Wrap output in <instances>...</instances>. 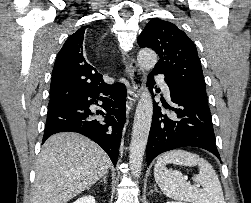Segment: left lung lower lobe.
Returning a JSON list of instances; mask_svg holds the SVG:
<instances>
[{
  "mask_svg": "<svg viewBox=\"0 0 251 203\" xmlns=\"http://www.w3.org/2000/svg\"><path fill=\"white\" fill-rule=\"evenodd\" d=\"M160 72L152 71L148 76V85L154 86L153 75ZM170 89L172 114H164L154 104L152 124L147 143V164L159 154L180 147H199L213 153L220 159L215 144L212 117L208 104L199 100L188 91L165 81Z\"/></svg>",
  "mask_w": 251,
  "mask_h": 203,
  "instance_id": "1",
  "label": "left lung lower lobe"
}]
</instances>
